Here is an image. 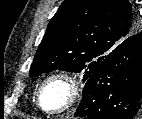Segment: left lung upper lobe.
<instances>
[{
    "label": "left lung upper lobe",
    "mask_w": 142,
    "mask_h": 119,
    "mask_svg": "<svg viewBox=\"0 0 142 119\" xmlns=\"http://www.w3.org/2000/svg\"><path fill=\"white\" fill-rule=\"evenodd\" d=\"M128 0H65L50 20L29 76L83 72V82L123 40L138 32Z\"/></svg>",
    "instance_id": "obj_1"
}]
</instances>
